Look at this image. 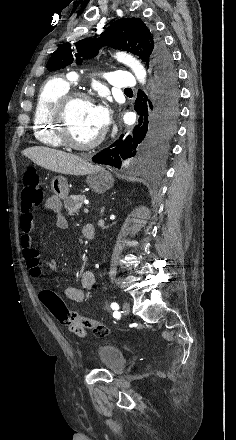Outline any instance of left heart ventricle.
Masks as SVG:
<instances>
[{
    "mask_svg": "<svg viewBox=\"0 0 236 440\" xmlns=\"http://www.w3.org/2000/svg\"><path fill=\"white\" fill-rule=\"evenodd\" d=\"M68 122L72 138L79 143L89 142L101 132L93 119V104L87 101L79 100L72 104Z\"/></svg>",
    "mask_w": 236,
    "mask_h": 440,
    "instance_id": "1",
    "label": "left heart ventricle"
}]
</instances>
